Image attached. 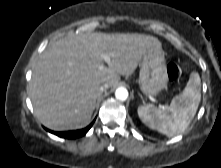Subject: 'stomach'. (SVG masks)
Masks as SVG:
<instances>
[{
    "mask_svg": "<svg viewBox=\"0 0 221 168\" xmlns=\"http://www.w3.org/2000/svg\"><path fill=\"white\" fill-rule=\"evenodd\" d=\"M138 83L146 96H156L167 86L168 75L162 50H151L143 55Z\"/></svg>",
    "mask_w": 221,
    "mask_h": 168,
    "instance_id": "0dacf381",
    "label": "stomach"
}]
</instances>
